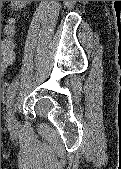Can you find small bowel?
Segmentation results:
<instances>
[{"label":"small bowel","instance_id":"small-bowel-1","mask_svg":"<svg viewBox=\"0 0 121 169\" xmlns=\"http://www.w3.org/2000/svg\"><path fill=\"white\" fill-rule=\"evenodd\" d=\"M16 2V6H23L28 4L30 1H15ZM5 70H2V72H4Z\"/></svg>","mask_w":121,"mask_h":169}]
</instances>
